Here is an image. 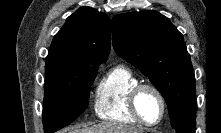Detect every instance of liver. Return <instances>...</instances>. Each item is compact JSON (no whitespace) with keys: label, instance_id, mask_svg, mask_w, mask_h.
Returning <instances> with one entry per match:
<instances>
[{"label":"liver","instance_id":"6515ba94","mask_svg":"<svg viewBox=\"0 0 221 133\" xmlns=\"http://www.w3.org/2000/svg\"><path fill=\"white\" fill-rule=\"evenodd\" d=\"M135 127L116 122H102L88 128L65 129L62 133H139Z\"/></svg>","mask_w":221,"mask_h":133}]
</instances>
